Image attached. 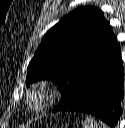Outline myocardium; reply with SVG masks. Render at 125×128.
Returning a JSON list of instances; mask_svg holds the SVG:
<instances>
[{"instance_id":"obj_1","label":"myocardium","mask_w":125,"mask_h":128,"mask_svg":"<svg viewBox=\"0 0 125 128\" xmlns=\"http://www.w3.org/2000/svg\"><path fill=\"white\" fill-rule=\"evenodd\" d=\"M59 95L53 83L38 82L26 95L27 107L35 113L44 112L55 104Z\"/></svg>"}]
</instances>
